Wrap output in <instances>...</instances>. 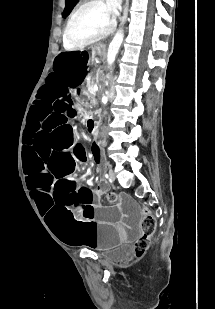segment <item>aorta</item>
Masks as SVG:
<instances>
[{"label": "aorta", "mask_w": 215, "mask_h": 309, "mask_svg": "<svg viewBox=\"0 0 215 309\" xmlns=\"http://www.w3.org/2000/svg\"><path fill=\"white\" fill-rule=\"evenodd\" d=\"M124 38V32L123 30H118V32H116L113 40H111L110 44H109V48H108V52H107V62L108 64H113L114 60H115V56L121 46V42Z\"/></svg>", "instance_id": "aorta-1"}]
</instances>
